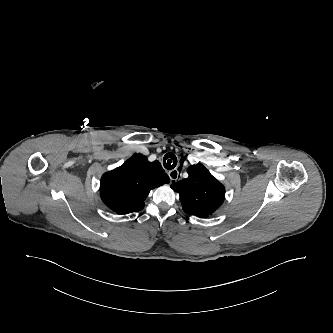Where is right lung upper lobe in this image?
I'll return each instance as SVG.
<instances>
[{"instance_id":"1","label":"right lung upper lobe","mask_w":333,"mask_h":333,"mask_svg":"<svg viewBox=\"0 0 333 333\" xmlns=\"http://www.w3.org/2000/svg\"><path fill=\"white\" fill-rule=\"evenodd\" d=\"M165 183H169V177L158 161L149 162L142 154H135L103 174L100 196L111 210L128 214L142 210L150 190Z\"/></svg>"}]
</instances>
